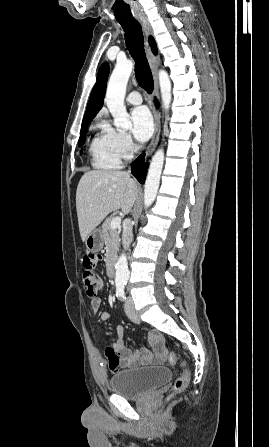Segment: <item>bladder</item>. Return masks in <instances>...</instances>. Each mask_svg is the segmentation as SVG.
I'll use <instances>...</instances> for the list:
<instances>
[{
	"label": "bladder",
	"instance_id": "bladder-1",
	"mask_svg": "<svg viewBox=\"0 0 269 447\" xmlns=\"http://www.w3.org/2000/svg\"><path fill=\"white\" fill-rule=\"evenodd\" d=\"M171 379L172 373L168 367H141L114 372L109 386L112 394L138 398L152 393Z\"/></svg>",
	"mask_w": 269,
	"mask_h": 447
}]
</instances>
